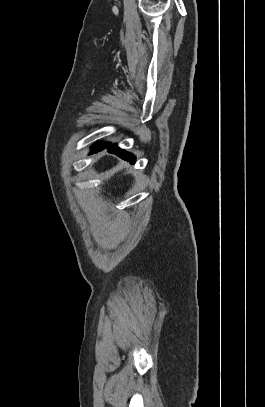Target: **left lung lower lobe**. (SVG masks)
<instances>
[{"mask_svg": "<svg viewBox=\"0 0 265 407\" xmlns=\"http://www.w3.org/2000/svg\"><path fill=\"white\" fill-rule=\"evenodd\" d=\"M104 148H109V151L111 153H114L118 155L120 158L130 161L131 163L135 162V156L129 152H126L119 147L116 146V144H111V143H105V144H100V145H95L91 151V153H96L98 151L103 150Z\"/></svg>", "mask_w": 265, "mask_h": 407, "instance_id": "1", "label": "left lung lower lobe"}]
</instances>
